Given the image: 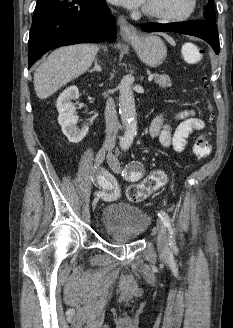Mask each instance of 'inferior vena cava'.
<instances>
[{
  "label": "inferior vena cava",
  "instance_id": "1",
  "mask_svg": "<svg viewBox=\"0 0 233 328\" xmlns=\"http://www.w3.org/2000/svg\"><path fill=\"white\" fill-rule=\"evenodd\" d=\"M106 120V137L103 144V150L112 151L116 142V135L119 128L115 104L112 99H109L105 109Z\"/></svg>",
  "mask_w": 233,
  "mask_h": 328
}]
</instances>
